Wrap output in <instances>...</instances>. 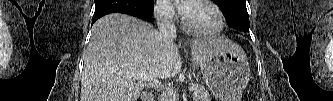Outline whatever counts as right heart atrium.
<instances>
[{"mask_svg": "<svg viewBox=\"0 0 333 101\" xmlns=\"http://www.w3.org/2000/svg\"><path fill=\"white\" fill-rule=\"evenodd\" d=\"M154 15L161 23H169L175 17L174 8L166 0H158L154 8Z\"/></svg>", "mask_w": 333, "mask_h": 101, "instance_id": "right-heart-atrium-1", "label": "right heart atrium"}]
</instances>
